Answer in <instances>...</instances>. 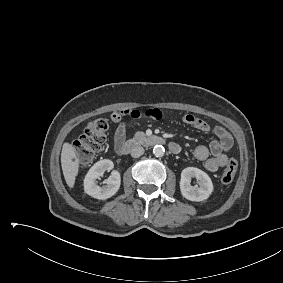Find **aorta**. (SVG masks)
<instances>
[{
	"label": "aorta",
	"mask_w": 283,
	"mask_h": 283,
	"mask_svg": "<svg viewBox=\"0 0 283 283\" xmlns=\"http://www.w3.org/2000/svg\"><path fill=\"white\" fill-rule=\"evenodd\" d=\"M164 153H165V149L162 145H155L154 148H153V154L156 156V157H162L164 156Z\"/></svg>",
	"instance_id": "obj_1"
}]
</instances>
